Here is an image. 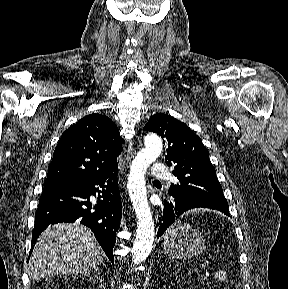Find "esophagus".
<instances>
[{"label": "esophagus", "mask_w": 288, "mask_h": 289, "mask_svg": "<svg viewBox=\"0 0 288 289\" xmlns=\"http://www.w3.org/2000/svg\"><path fill=\"white\" fill-rule=\"evenodd\" d=\"M133 144L134 142L130 141L129 146H128V154H127L128 159H131L134 154Z\"/></svg>", "instance_id": "esophagus-1"}]
</instances>
